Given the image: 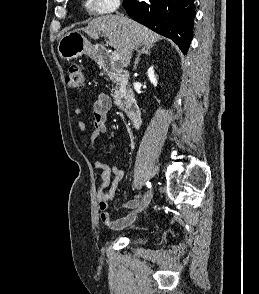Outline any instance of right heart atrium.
Listing matches in <instances>:
<instances>
[{"instance_id": "1", "label": "right heart atrium", "mask_w": 259, "mask_h": 294, "mask_svg": "<svg viewBox=\"0 0 259 294\" xmlns=\"http://www.w3.org/2000/svg\"><path fill=\"white\" fill-rule=\"evenodd\" d=\"M121 0H85L87 9L95 15H106L115 11Z\"/></svg>"}]
</instances>
